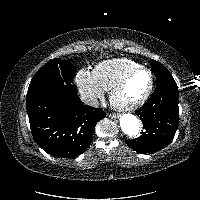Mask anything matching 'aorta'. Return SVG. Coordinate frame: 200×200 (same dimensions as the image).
I'll list each match as a JSON object with an SVG mask.
<instances>
[{
	"label": "aorta",
	"mask_w": 200,
	"mask_h": 200,
	"mask_svg": "<svg viewBox=\"0 0 200 200\" xmlns=\"http://www.w3.org/2000/svg\"><path fill=\"white\" fill-rule=\"evenodd\" d=\"M120 126L124 134L128 136H136L139 133V119L132 114H123L120 117Z\"/></svg>",
	"instance_id": "1"
}]
</instances>
